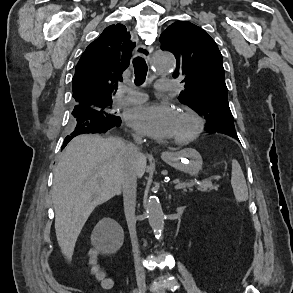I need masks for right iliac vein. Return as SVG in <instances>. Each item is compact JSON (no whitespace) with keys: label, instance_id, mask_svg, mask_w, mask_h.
Returning a JSON list of instances; mask_svg holds the SVG:
<instances>
[{"label":"right iliac vein","instance_id":"obj_1","mask_svg":"<svg viewBox=\"0 0 293 293\" xmlns=\"http://www.w3.org/2000/svg\"><path fill=\"white\" fill-rule=\"evenodd\" d=\"M137 283L141 293H145V278L143 275L137 276Z\"/></svg>","mask_w":293,"mask_h":293}]
</instances>
